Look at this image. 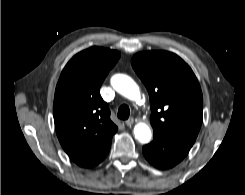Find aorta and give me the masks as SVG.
<instances>
[{
    "mask_svg": "<svg viewBox=\"0 0 245 195\" xmlns=\"http://www.w3.org/2000/svg\"><path fill=\"white\" fill-rule=\"evenodd\" d=\"M111 85L118 93L130 100L138 101L140 99V90L138 85L127 75H114L111 78ZM134 134L140 143H148L152 137L151 130L145 123H138L134 127Z\"/></svg>",
    "mask_w": 245,
    "mask_h": 195,
    "instance_id": "obj_1",
    "label": "aorta"
}]
</instances>
